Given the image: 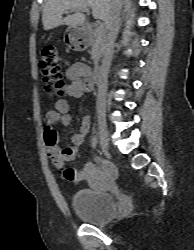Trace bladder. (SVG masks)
Segmentation results:
<instances>
[{
	"instance_id": "bladder-1",
	"label": "bladder",
	"mask_w": 194,
	"mask_h": 250,
	"mask_svg": "<svg viewBox=\"0 0 194 250\" xmlns=\"http://www.w3.org/2000/svg\"><path fill=\"white\" fill-rule=\"evenodd\" d=\"M72 209L86 223L100 225L114 217L117 205L110 193L88 188L73 194Z\"/></svg>"
}]
</instances>
